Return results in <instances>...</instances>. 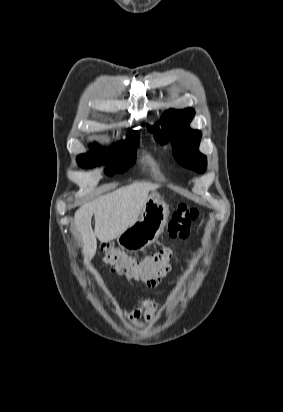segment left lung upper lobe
Returning a JSON list of instances; mask_svg holds the SVG:
<instances>
[{"mask_svg": "<svg viewBox=\"0 0 283 412\" xmlns=\"http://www.w3.org/2000/svg\"><path fill=\"white\" fill-rule=\"evenodd\" d=\"M194 113L191 108L182 111L167 110L161 116L163 130L150 126L148 129L154 132L155 139L161 144L171 140L173 155L180 164L203 173L207 167V158L198 150L201 132L189 128Z\"/></svg>", "mask_w": 283, "mask_h": 412, "instance_id": "1", "label": "left lung upper lobe"}]
</instances>
